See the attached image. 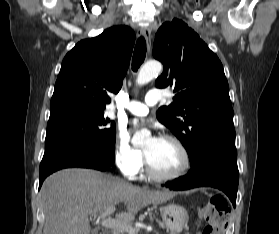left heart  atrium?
<instances>
[{
    "label": "left heart atrium",
    "mask_w": 279,
    "mask_h": 234,
    "mask_svg": "<svg viewBox=\"0 0 279 234\" xmlns=\"http://www.w3.org/2000/svg\"><path fill=\"white\" fill-rule=\"evenodd\" d=\"M159 139H160V138H158V137L153 138L154 141H157V140H159Z\"/></svg>",
    "instance_id": "obj_1"
}]
</instances>
